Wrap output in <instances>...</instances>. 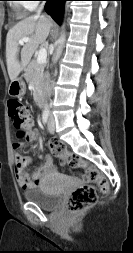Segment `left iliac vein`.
<instances>
[{"label": "left iliac vein", "mask_w": 133, "mask_h": 253, "mask_svg": "<svg viewBox=\"0 0 133 253\" xmlns=\"http://www.w3.org/2000/svg\"><path fill=\"white\" fill-rule=\"evenodd\" d=\"M48 131L51 134H53L55 132V122H54L53 118H51L49 123H48Z\"/></svg>", "instance_id": "4c4485c4"}]
</instances>
